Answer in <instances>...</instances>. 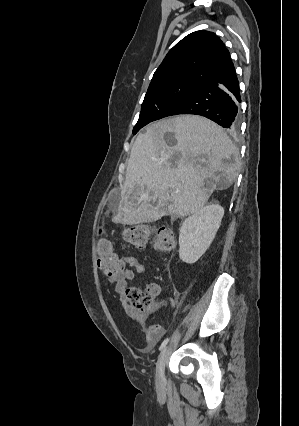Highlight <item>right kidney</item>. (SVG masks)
<instances>
[{"instance_id":"right-kidney-1","label":"right kidney","mask_w":299,"mask_h":426,"mask_svg":"<svg viewBox=\"0 0 299 426\" xmlns=\"http://www.w3.org/2000/svg\"><path fill=\"white\" fill-rule=\"evenodd\" d=\"M224 216L219 204H209L186 218L180 228L179 257L188 264L195 263L209 248Z\"/></svg>"}]
</instances>
